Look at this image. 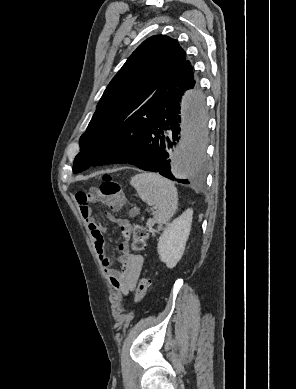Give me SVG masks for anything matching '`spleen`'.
<instances>
[{"label": "spleen", "mask_w": 296, "mask_h": 389, "mask_svg": "<svg viewBox=\"0 0 296 389\" xmlns=\"http://www.w3.org/2000/svg\"><path fill=\"white\" fill-rule=\"evenodd\" d=\"M131 186L146 203L153 204L154 221L158 224L157 231L174 216L178 206V193L174 183L156 173H140L131 178Z\"/></svg>", "instance_id": "obj_1"}]
</instances>
